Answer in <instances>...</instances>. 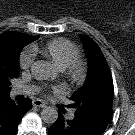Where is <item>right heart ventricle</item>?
<instances>
[{"instance_id": "right-heart-ventricle-1", "label": "right heart ventricle", "mask_w": 135, "mask_h": 135, "mask_svg": "<svg viewBox=\"0 0 135 135\" xmlns=\"http://www.w3.org/2000/svg\"><path fill=\"white\" fill-rule=\"evenodd\" d=\"M31 50L35 53L41 52L62 70L66 69L80 57L79 48L65 38L53 39L43 47H40L38 44H33L31 45Z\"/></svg>"}]
</instances>
